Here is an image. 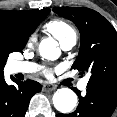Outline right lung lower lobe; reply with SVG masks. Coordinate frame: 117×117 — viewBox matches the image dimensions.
I'll use <instances>...</instances> for the list:
<instances>
[{
  "instance_id": "obj_1",
  "label": "right lung lower lobe",
  "mask_w": 117,
  "mask_h": 117,
  "mask_svg": "<svg viewBox=\"0 0 117 117\" xmlns=\"http://www.w3.org/2000/svg\"><path fill=\"white\" fill-rule=\"evenodd\" d=\"M7 85L4 77L0 78V117H24L31 97L41 91V85L32 80Z\"/></svg>"
}]
</instances>
